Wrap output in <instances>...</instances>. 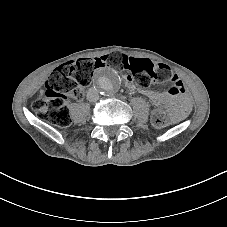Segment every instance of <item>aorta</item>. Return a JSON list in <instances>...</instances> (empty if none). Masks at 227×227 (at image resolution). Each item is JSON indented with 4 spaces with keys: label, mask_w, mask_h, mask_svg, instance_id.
Instances as JSON below:
<instances>
[{
    "label": "aorta",
    "mask_w": 227,
    "mask_h": 227,
    "mask_svg": "<svg viewBox=\"0 0 227 227\" xmlns=\"http://www.w3.org/2000/svg\"><path fill=\"white\" fill-rule=\"evenodd\" d=\"M97 89L106 96L112 95L120 88L121 79L118 73L112 68H101L95 75Z\"/></svg>",
    "instance_id": "obj_1"
}]
</instances>
